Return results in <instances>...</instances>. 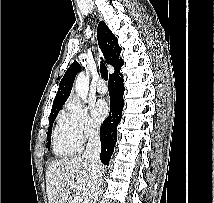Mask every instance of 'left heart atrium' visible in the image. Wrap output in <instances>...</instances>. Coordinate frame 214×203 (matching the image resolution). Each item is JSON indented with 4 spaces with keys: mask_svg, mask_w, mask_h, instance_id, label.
I'll list each match as a JSON object with an SVG mask.
<instances>
[{
    "mask_svg": "<svg viewBox=\"0 0 214 203\" xmlns=\"http://www.w3.org/2000/svg\"><path fill=\"white\" fill-rule=\"evenodd\" d=\"M108 111V105L104 99H99L92 105V115L97 122L103 121Z\"/></svg>",
    "mask_w": 214,
    "mask_h": 203,
    "instance_id": "obj_1",
    "label": "left heart atrium"
}]
</instances>
